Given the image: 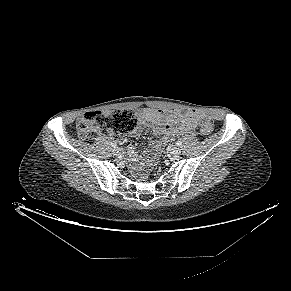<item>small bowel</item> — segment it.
I'll return each instance as SVG.
<instances>
[{
    "mask_svg": "<svg viewBox=\"0 0 291 291\" xmlns=\"http://www.w3.org/2000/svg\"><path fill=\"white\" fill-rule=\"evenodd\" d=\"M205 119V116L195 111L183 112L145 108L142 111V124L152 127L160 140L152 143L141 156L137 155L132 148H129L131 159L143 164L150 163L157 157L162 146L173 136L184 134L198 127Z\"/></svg>",
    "mask_w": 291,
    "mask_h": 291,
    "instance_id": "c3829d8e",
    "label": "small bowel"
}]
</instances>
